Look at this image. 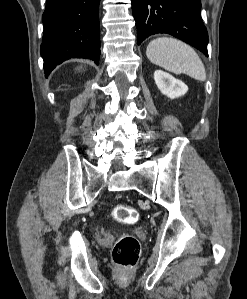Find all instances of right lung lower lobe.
Instances as JSON below:
<instances>
[{"label": "right lung lower lobe", "instance_id": "98d812e1", "mask_svg": "<svg viewBox=\"0 0 247 299\" xmlns=\"http://www.w3.org/2000/svg\"><path fill=\"white\" fill-rule=\"evenodd\" d=\"M100 0H47L41 55L46 76L71 58L100 57Z\"/></svg>", "mask_w": 247, "mask_h": 299}]
</instances>
